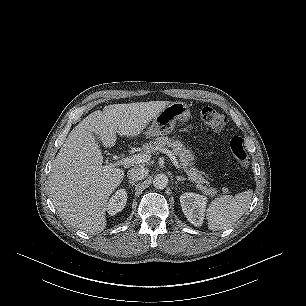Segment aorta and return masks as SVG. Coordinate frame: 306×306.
Wrapping results in <instances>:
<instances>
[{
	"instance_id": "obj_1",
	"label": "aorta",
	"mask_w": 306,
	"mask_h": 306,
	"mask_svg": "<svg viewBox=\"0 0 306 306\" xmlns=\"http://www.w3.org/2000/svg\"><path fill=\"white\" fill-rule=\"evenodd\" d=\"M169 182L168 176L165 174H157L153 179V185L157 189H164Z\"/></svg>"
}]
</instances>
